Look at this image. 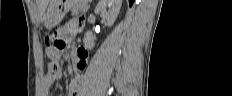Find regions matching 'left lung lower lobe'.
I'll use <instances>...</instances> for the list:
<instances>
[{"label": "left lung lower lobe", "instance_id": "obj_1", "mask_svg": "<svg viewBox=\"0 0 232 96\" xmlns=\"http://www.w3.org/2000/svg\"><path fill=\"white\" fill-rule=\"evenodd\" d=\"M134 0H129L130 6L133 4Z\"/></svg>", "mask_w": 232, "mask_h": 96}]
</instances>
